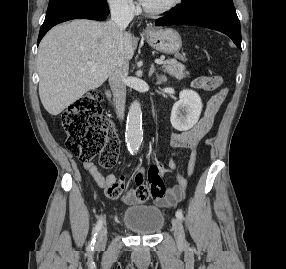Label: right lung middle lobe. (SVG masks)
<instances>
[{
  "label": "right lung middle lobe",
  "instance_id": "1",
  "mask_svg": "<svg viewBox=\"0 0 286 269\" xmlns=\"http://www.w3.org/2000/svg\"><path fill=\"white\" fill-rule=\"evenodd\" d=\"M73 10H91L109 14L106 0H50L45 18Z\"/></svg>",
  "mask_w": 286,
  "mask_h": 269
}]
</instances>
